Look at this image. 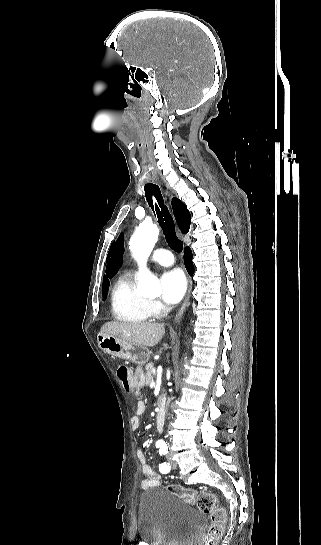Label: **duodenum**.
I'll use <instances>...</instances> for the list:
<instances>
[{"label": "duodenum", "mask_w": 321, "mask_h": 545, "mask_svg": "<svg viewBox=\"0 0 321 545\" xmlns=\"http://www.w3.org/2000/svg\"><path fill=\"white\" fill-rule=\"evenodd\" d=\"M165 421V399L160 400L159 411L156 416V429L157 431H162Z\"/></svg>", "instance_id": "obj_1"}]
</instances>
